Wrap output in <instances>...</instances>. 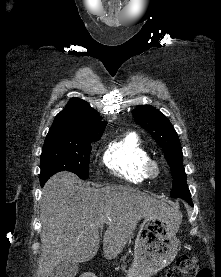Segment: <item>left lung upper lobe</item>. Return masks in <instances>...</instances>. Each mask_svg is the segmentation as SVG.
I'll return each mask as SVG.
<instances>
[{
  "mask_svg": "<svg viewBox=\"0 0 221 277\" xmlns=\"http://www.w3.org/2000/svg\"><path fill=\"white\" fill-rule=\"evenodd\" d=\"M132 112L137 123L150 132L165 151V157L173 178L170 196L183 199L191 196L182 164L183 155L179 137L167 117L149 105L138 106Z\"/></svg>",
  "mask_w": 221,
  "mask_h": 277,
  "instance_id": "obj_1",
  "label": "left lung upper lobe"
}]
</instances>
